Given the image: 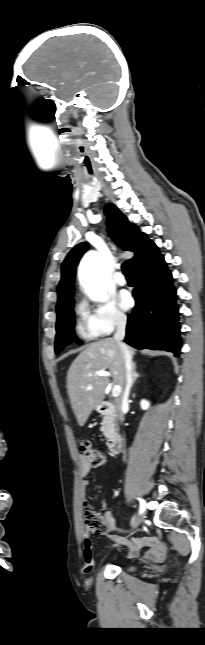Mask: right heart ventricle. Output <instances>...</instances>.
<instances>
[{"label":"right heart ventricle","instance_id":"right-heart-ventricle-1","mask_svg":"<svg viewBox=\"0 0 205 645\" xmlns=\"http://www.w3.org/2000/svg\"><path fill=\"white\" fill-rule=\"evenodd\" d=\"M78 331H79L80 335L82 337H84V338L92 339V338L96 337V335H94L90 331V329L88 327V323H87L86 314L83 312V310L81 308H79Z\"/></svg>","mask_w":205,"mask_h":645}]
</instances>
